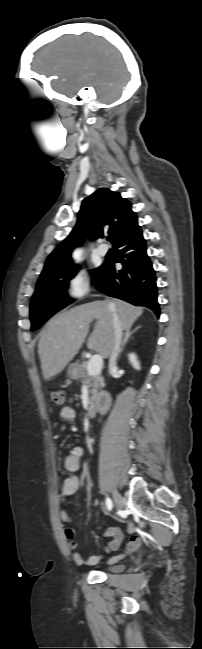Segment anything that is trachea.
Returning <instances> with one entry per match:
<instances>
[{"label": "trachea", "instance_id": "3493384b", "mask_svg": "<svg viewBox=\"0 0 202 649\" xmlns=\"http://www.w3.org/2000/svg\"><path fill=\"white\" fill-rule=\"evenodd\" d=\"M107 240H108V241H110V240H111V238H110V237H108V238H107Z\"/></svg>", "mask_w": 202, "mask_h": 649}]
</instances>
